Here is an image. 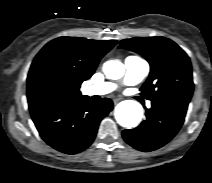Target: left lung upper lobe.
I'll return each mask as SVG.
<instances>
[{"label":"left lung upper lobe","instance_id":"1","mask_svg":"<svg viewBox=\"0 0 212 183\" xmlns=\"http://www.w3.org/2000/svg\"><path fill=\"white\" fill-rule=\"evenodd\" d=\"M142 54L150 64V75L141 95L151 101L188 104L193 94L191 62L172 40L160 36L125 39L120 47Z\"/></svg>","mask_w":212,"mask_h":183}]
</instances>
